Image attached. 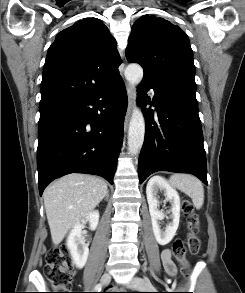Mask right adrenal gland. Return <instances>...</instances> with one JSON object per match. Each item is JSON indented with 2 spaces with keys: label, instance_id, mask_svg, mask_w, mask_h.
I'll return each mask as SVG.
<instances>
[{
  "label": "right adrenal gland",
  "instance_id": "1",
  "mask_svg": "<svg viewBox=\"0 0 245 293\" xmlns=\"http://www.w3.org/2000/svg\"><path fill=\"white\" fill-rule=\"evenodd\" d=\"M108 198H109V194L107 193V194H106V200H108Z\"/></svg>",
  "mask_w": 245,
  "mask_h": 293
}]
</instances>
